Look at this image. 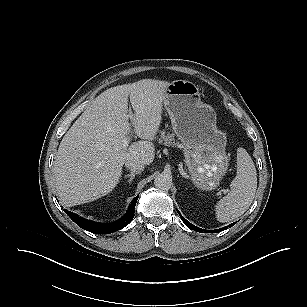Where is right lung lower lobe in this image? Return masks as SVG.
I'll return each mask as SVG.
<instances>
[{
	"instance_id": "1",
	"label": "right lung lower lobe",
	"mask_w": 307,
	"mask_h": 307,
	"mask_svg": "<svg viewBox=\"0 0 307 307\" xmlns=\"http://www.w3.org/2000/svg\"><path fill=\"white\" fill-rule=\"evenodd\" d=\"M138 196L131 202L127 213L120 220L113 223H98L88 219H84L75 213L64 210L65 213L81 228L96 234H110L127 226L134 218V209Z\"/></svg>"
}]
</instances>
